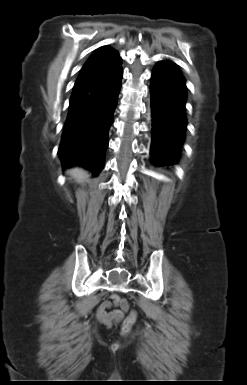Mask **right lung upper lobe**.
<instances>
[{
  "instance_id": "cb5924a9",
  "label": "right lung upper lobe",
  "mask_w": 247,
  "mask_h": 385,
  "mask_svg": "<svg viewBox=\"0 0 247 385\" xmlns=\"http://www.w3.org/2000/svg\"><path fill=\"white\" fill-rule=\"evenodd\" d=\"M119 62H121V58L117 51L106 46L101 47L85 63L77 80L111 68Z\"/></svg>"
}]
</instances>
